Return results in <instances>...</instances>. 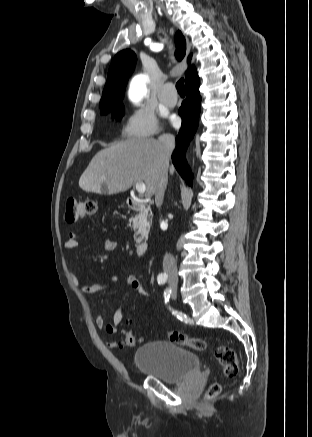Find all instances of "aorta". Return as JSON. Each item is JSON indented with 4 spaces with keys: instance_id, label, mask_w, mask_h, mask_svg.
Masks as SVG:
<instances>
[{
    "instance_id": "762f6f07",
    "label": "aorta",
    "mask_w": 312,
    "mask_h": 437,
    "mask_svg": "<svg viewBox=\"0 0 312 437\" xmlns=\"http://www.w3.org/2000/svg\"><path fill=\"white\" fill-rule=\"evenodd\" d=\"M146 81L147 77L145 75L141 74L134 77L129 89V97L132 101L138 102L147 93Z\"/></svg>"
}]
</instances>
